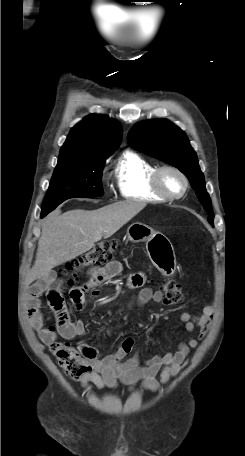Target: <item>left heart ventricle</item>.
<instances>
[{
	"label": "left heart ventricle",
	"mask_w": 245,
	"mask_h": 456,
	"mask_svg": "<svg viewBox=\"0 0 245 456\" xmlns=\"http://www.w3.org/2000/svg\"><path fill=\"white\" fill-rule=\"evenodd\" d=\"M160 182L163 189L173 195L181 193L184 187L182 179L172 171H164L161 174Z\"/></svg>",
	"instance_id": "left-heart-ventricle-1"
}]
</instances>
